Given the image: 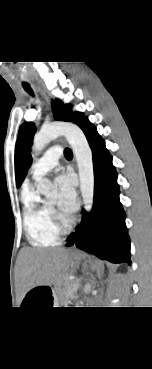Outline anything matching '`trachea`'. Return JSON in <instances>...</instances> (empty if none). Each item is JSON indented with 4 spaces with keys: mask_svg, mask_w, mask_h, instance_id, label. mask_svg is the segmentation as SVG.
<instances>
[{
    "mask_svg": "<svg viewBox=\"0 0 152 369\" xmlns=\"http://www.w3.org/2000/svg\"><path fill=\"white\" fill-rule=\"evenodd\" d=\"M23 87H24V89L29 93V94H31V95H33V91H32V89H31V87H30V85L29 84H23ZM64 155H65V157L68 159V158H72V151H71V149L70 148H66L65 150H64Z\"/></svg>",
    "mask_w": 152,
    "mask_h": 369,
    "instance_id": "3493384b",
    "label": "trachea"
}]
</instances>
